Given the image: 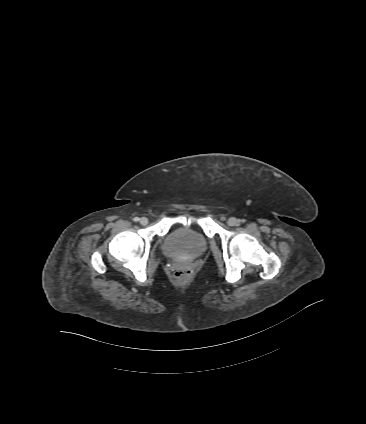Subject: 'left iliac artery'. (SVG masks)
<instances>
[{
	"label": "left iliac artery",
	"instance_id": "1",
	"mask_svg": "<svg viewBox=\"0 0 366 424\" xmlns=\"http://www.w3.org/2000/svg\"><path fill=\"white\" fill-rule=\"evenodd\" d=\"M244 221H245V220H239V222H242V223H243Z\"/></svg>",
	"mask_w": 366,
	"mask_h": 424
}]
</instances>
